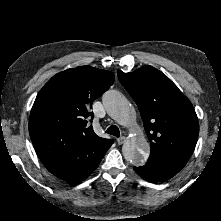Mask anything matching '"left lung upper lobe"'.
<instances>
[{"label": "left lung upper lobe", "mask_w": 221, "mask_h": 221, "mask_svg": "<svg viewBox=\"0 0 221 221\" xmlns=\"http://www.w3.org/2000/svg\"><path fill=\"white\" fill-rule=\"evenodd\" d=\"M117 74L140 111L151 145L148 162L179 172L198 139L199 122L191 102L152 66L129 73L118 70Z\"/></svg>", "instance_id": "1"}]
</instances>
